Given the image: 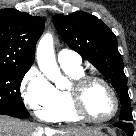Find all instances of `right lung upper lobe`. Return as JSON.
Segmentation results:
<instances>
[{
	"label": "right lung upper lobe",
	"mask_w": 136,
	"mask_h": 136,
	"mask_svg": "<svg viewBox=\"0 0 136 136\" xmlns=\"http://www.w3.org/2000/svg\"><path fill=\"white\" fill-rule=\"evenodd\" d=\"M44 25L41 17L11 8L0 10V67L29 69Z\"/></svg>",
	"instance_id": "obj_1"
}]
</instances>
